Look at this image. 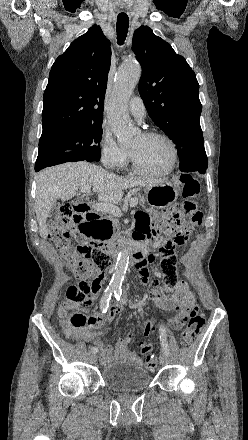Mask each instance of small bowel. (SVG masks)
Instances as JSON below:
<instances>
[{"label": "small bowel", "instance_id": "obj_1", "mask_svg": "<svg viewBox=\"0 0 248 440\" xmlns=\"http://www.w3.org/2000/svg\"><path fill=\"white\" fill-rule=\"evenodd\" d=\"M177 216L169 215L168 213H155L153 216H149L145 212H140L136 215V233L144 240L145 238H153L160 227L166 222L170 226L177 225ZM179 223V221H178ZM179 231L188 232L193 228L187 224H181ZM187 261L186 258L183 259ZM144 265L140 268V281L142 284H146L149 278V269L147 267L150 264V259H145ZM180 260L178 257H160L158 259L157 268L159 270V277L162 278L161 289L160 281L152 279L149 282L150 289L143 294V301L148 297L153 300L155 307L162 310H180L183 312L191 311L195 308L196 302L193 294L189 290L187 284L181 280H178L177 273L179 272ZM102 271H96L94 274L98 276L96 278L98 288L96 295L100 292L101 285L104 281L107 272L110 271L109 267H102ZM174 291V292H173ZM173 293V294H172ZM172 294V295H166ZM71 308L66 305H61L58 309V316L60 318V325L69 338L78 340L84 339L87 341H94L95 347L100 350V362L103 365L118 361L127 360L136 364H142L143 360L133 351L128 349L133 340V334L128 333L121 337L114 348L105 346L101 341L103 329L106 324L112 321V319L120 312V309L116 306L107 309L106 313H97L90 316L89 323L82 327H75L70 322ZM82 313V312H80ZM172 325L174 328L179 329L183 325L182 319H172Z\"/></svg>", "mask_w": 248, "mask_h": 440}]
</instances>
